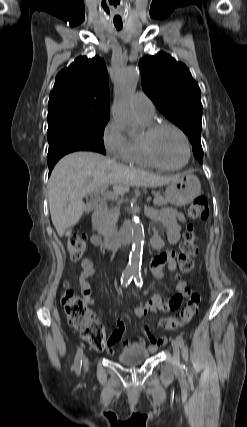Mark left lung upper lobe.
Returning <instances> with one entry per match:
<instances>
[{"mask_svg":"<svg viewBox=\"0 0 247 427\" xmlns=\"http://www.w3.org/2000/svg\"><path fill=\"white\" fill-rule=\"evenodd\" d=\"M142 86L156 107L188 136L193 154L203 162L201 92L189 69L159 52L139 61Z\"/></svg>","mask_w":247,"mask_h":427,"instance_id":"1","label":"left lung upper lobe"}]
</instances>
